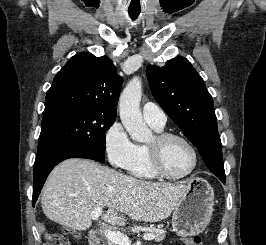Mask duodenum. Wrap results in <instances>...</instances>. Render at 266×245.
<instances>
[{"label": "duodenum", "instance_id": "1", "mask_svg": "<svg viewBox=\"0 0 266 245\" xmlns=\"http://www.w3.org/2000/svg\"><path fill=\"white\" fill-rule=\"evenodd\" d=\"M90 245H101L98 236L94 233H91L90 235Z\"/></svg>", "mask_w": 266, "mask_h": 245}]
</instances>
